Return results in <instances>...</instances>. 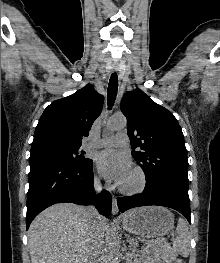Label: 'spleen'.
Returning a JSON list of instances; mask_svg holds the SVG:
<instances>
[{
    "instance_id": "1",
    "label": "spleen",
    "mask_w": 220,
    "mask_h": 263,
    "mask_svg": "<svg viewBox=\"0 0 220 263\" xmlns=\"http://www.w3.org/2000/svg\"><path fill=\"white\" fill-rule=\"evenodd\" d=\"M172 252L187 257L190 252V234L187 222L179 218L176 228V238L173 242Z\"/></svg>"
}]
</instances>
